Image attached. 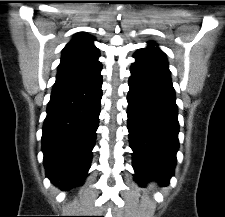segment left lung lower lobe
<instances>
[{
  "instance_id": "obj_1",
  "label": "left lung lower lobe",
  "mask_w": 225,
  "mask_h": 217,
  "mask_svg": "<svg viewBox=\"0 0 225 217\" xmlns=\"http://www.w3.org/2000/svg\"><path fill=\"white\" fill-rule=\"evenodd\" d=\"M129 78L128 130L133 168L139 184L170 182L179 147L177 105L165 66L132 64Z\"/></svg>"
}]
</instances>
